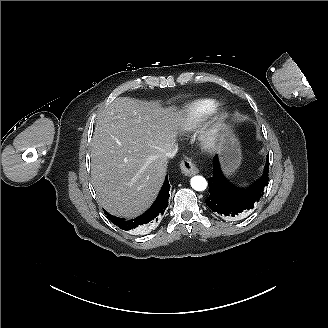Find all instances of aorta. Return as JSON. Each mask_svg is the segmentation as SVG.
Wrapping results in <instances>:
<instances>
[{"instance_id": "762f6f07", "label": "aorta", "mask_w": 328, "mask_h": 328, "mask_svg": "<svg viewBox=\"0 0 328 328\" xmlns=\"http://www.w3.org/2000/svg\"><path fill=\"white\" fill-rule=\"evenodd\" d=\"M191 187L196 191H204L207 188V181L202 176H194L190 180Z\"/></svg>"}]
</instances>
